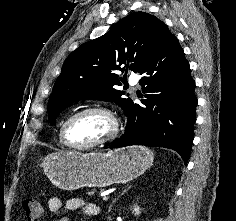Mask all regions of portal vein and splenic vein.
<instances>
[{
    "label": "portal vein and splenic vein",
    "instance_id": "18ae733b",
    "mask_svg": "<svg viewBox=\"0 0 236 221\" xmlns=\"http://www.w3.org/2000/svg\"><path fill=\"white\" fill-rule=\"evenodd\" d=\"M103 200H104V201L108 200V196H104V197H103Z\"/></svg>",
    "mask_w": 236,
    "mask_h": 221
}]
</instances>
